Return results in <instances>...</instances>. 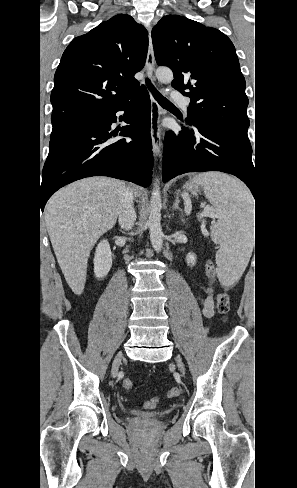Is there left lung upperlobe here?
Here are the masks:
<instances>
[{
  "mask_svg": "<svg viewBox=\"0 0 297 488\" xmlns=\"http://www.w3.org/2000/svg\"><path fill=\"white\" fill-rule=\"evenodd\" d=\"M152 40L157 64L173 71L172 87L191 99L187 123L248 139L246 83L231 40L177 15L164 16Z\"/></svg>",
  "mask_w": 297,
  "mask_h": 488,
  "instance_id": "5c2ea615",
  "label": "left lung upper lobe"
}]
</instances>
